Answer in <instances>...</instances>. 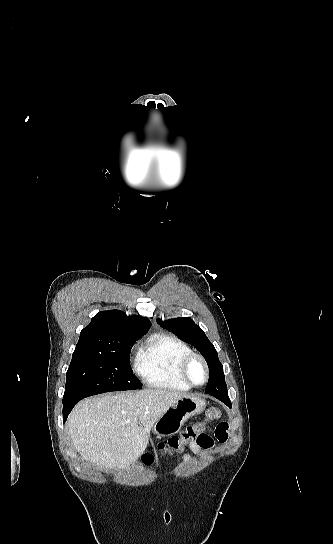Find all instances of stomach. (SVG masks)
Returning a JSON list of instances; mask_svg holds the SVG:
<instances>
[{
  "instance_id": "obj_1",
  "label": "stomach",
  "mask_w": 333,
  "mask_h": 544,
  "mask_svg": "<svg viewBox=\"0 0 333 544\" xmlns=\"http://www.w3.org/2000/svg\"><path fill=\"white\" fill-rule=\"evenodd\" d=\"M206 402L203 399L186 396L173 404L154 424L152 431L158 437L178 433L182 425L193 415L203 412Z\"/></svg>"
}]
</instances>
